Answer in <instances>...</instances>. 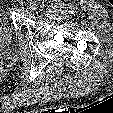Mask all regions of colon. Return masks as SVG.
<instances>
[{
  "label": "colon",
  "instance_id": "5ec220e1",
  "mask_svg": "<svg viewBox=\"0 0 113 113\" xmlns=\"http://www.w3.org/2000/svg\"><path fill=\"white\" fill-rule=\"evenodd\" d=\"M1 61H2V60H1V56H0V64H1Z\"/></svg>",
  "mask_w": 113,
  "mask_h": 113
}]
</instances>
